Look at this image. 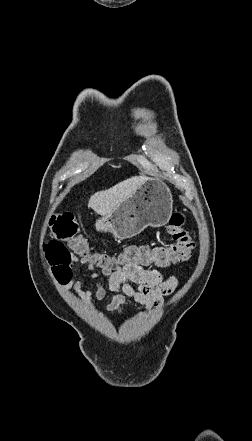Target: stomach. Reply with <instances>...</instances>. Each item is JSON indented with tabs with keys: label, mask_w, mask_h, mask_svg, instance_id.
<instances>
[{
	"label": "stomach",
	"mask_w": 252,
	"mask_h": 441,
	"mask_svg": "<svg viewBox=\"0 0 252 441\" xmlns=\"http://www.w3.org/2000/svg\"><path fill=\"white\" fill-rule=\"evenodd\" d=\"M172 210L170 188L162 180L149 179L111 214L99 218L96 228L124 240L138 235L148 226L166 225Z\"/></svg>",
	"instance_id": "stomach-1"
}]
</instances>
